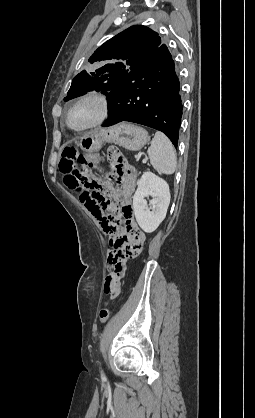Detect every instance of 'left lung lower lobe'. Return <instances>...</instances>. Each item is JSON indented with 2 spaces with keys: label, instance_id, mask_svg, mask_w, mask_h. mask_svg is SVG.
I'll use <instances>...</instances> for the list:
<instances>
[{
  "label": "left lung lower lobe",
  "instance_id": "1",
  "mask_svg": "<svg viewBox=\"0 0 255 418\" xmlns=\"http://www.w3.org/2000/svg\"><path fill=\"white\" fill-rule=\"evenodd\" d=\"M108 119L142 124L165 133L177 147L182 117L180 82L172 55L161 46L132 69L108 95Z\"/></svg>",
  "mask_w": 255,
  "mask_h": 418
}]
</instances>
